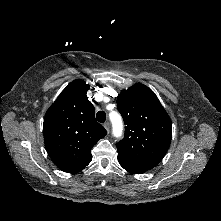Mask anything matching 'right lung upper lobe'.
Segmentation results:
<instances>
[{"mask_svg": "<svg viewBox=\"0 0 221 221\" xmlns=\"http://www.w3.org/2000/svg\"><path fill=\"white\" fill-rule=\"evenodd\" d=\"M83 80L72 81L48 109L43 135L48 155L68 173L83 170L92 160L91 149L107 132L96 122L94 106Z\"/></svg>", "mask_w": 221, "mask_h": 221, "instance_id": "cb5924a9", "label": "right lung upper lobe"}]
</instances>
